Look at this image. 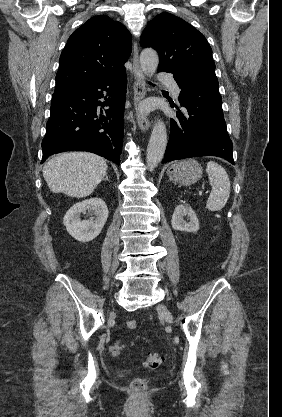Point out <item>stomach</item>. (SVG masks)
I'll return each instance as SVG.
<instances>
[{"mask_svg":"<svg viewBox=\"0 0 282 417\" xmlns=\"http://www.w3.org/2000/svg\"><path fill=\"white\" fill-rule=\"evenodd\" d=\"M167 174L179 184H194L202 176V166L194 158L172 162L167 168Z\"/></svg>","mask_w":282,"mask_h":417,"instance_id":"stomach-1","label":"stomach"}]
</instances>
